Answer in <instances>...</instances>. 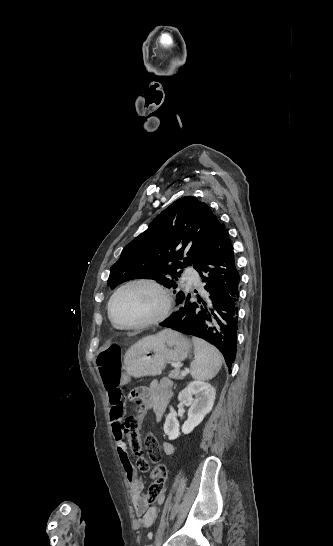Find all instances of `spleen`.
Segmentation results:
<instances>
[{
	"label": "spleen",
	"mask_w": 333,
	"mask_h": 546,
	"mask_svg": "<svg viewBox=\"0 0 333 546\" xmlns=\"http://www.w3.org/2000/svg\"><path fill=\"white\" fill-rule=\"evenodd\" d=\"M195 358L191 362V376L198 381L214 378L221 369L223 357L220 352L203 339L193 337Z\"/></svg>",
	"instance_id": "obj_1"
}]
</instances>
